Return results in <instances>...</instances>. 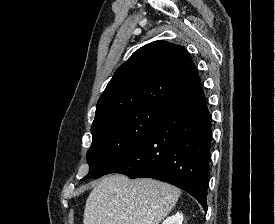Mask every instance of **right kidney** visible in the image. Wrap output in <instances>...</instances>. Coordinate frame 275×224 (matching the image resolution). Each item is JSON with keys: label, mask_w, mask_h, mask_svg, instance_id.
Listing matches in <instances>:
<instances>
[{"label": "right kidney", "mask_w": 275, "mask_h": 224, "mask_svg": "<svg viewBox=\"0 0 275 224\" xmlns=\"http://www.w3.org/2000/svg\"><path fill=\"white\" fill-rule=\"evenodd\" d=\"M183 214L177 212L175 215L168 217L162 224H182Z\"/></svg>", "instance_id": "right-kidney-1"}]
</instances>
